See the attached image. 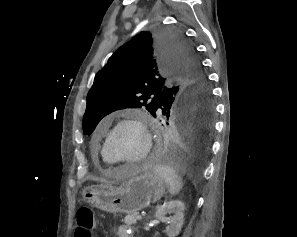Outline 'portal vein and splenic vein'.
Listing matches in <instances>:
<instances>
[{"label": "portal vein and splenic vein", "instance_id": "portal-vein-and-splenic-vein-1", "mask_svg": "<svg viewBox=\"0 0 297 237\" xmlns=\"http://www.w3.org/2000/svg\"><path fill=\"white\" fill-rule=\"evenodd\" d=\"M141 218H142V215H139V216L137 217L138 220H140Z\"/></svg>", "mask_w": 297, "mask_h": 237}]
</instances>
